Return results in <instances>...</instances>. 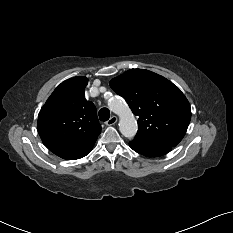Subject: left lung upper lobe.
I'll return each mask as SVG.
<instances>
[{"label": "left lung upper lobe", "instance_id": "1", "mask_svg": "<svg viewBox=\"0 0 233 233\" xmlns=\"http://www.w3.org/2000/svg\"><path fill=\"white\" fill-rule=\"evenodd\" d=\"M138 116L136 141L176 146L184 137L191 108L181 90L172 82L145 69H131L110 81Z\"/></svg>", "mask_w": 233, "mask_h": 233}]
</instances>
